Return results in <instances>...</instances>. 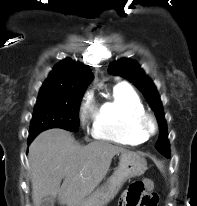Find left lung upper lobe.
Wrapping results in <instances>:
<instances>
[{
	"label": "left lung upper lobe",
	"mask_w": 197,
	"mask_h": 206,
	"mask_svg": "<svg viewBox=\"0 0 197 206\" xmlns=\"http://www.w3.org/2000/svg\"><path fill=\"white\" fill-rule=\"evenodd\" d=\"M109 72L133 82L145 96L150 107L155 113L159 125V138L155 147L164 155L169 153L167 125L163 113V107L153 82L145 75L136 62L125 58L111 63L109 66Z\"/></svg>",
	"instance_id": "obj_1"
}]
</instances>
